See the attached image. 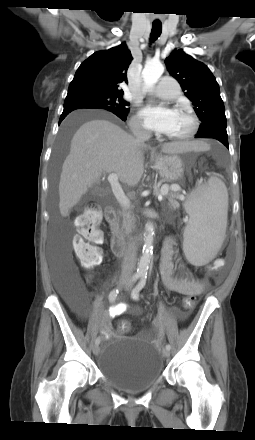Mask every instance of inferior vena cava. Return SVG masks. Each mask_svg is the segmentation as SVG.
<instances>
[{"label":"inferior vena cava","instance_id":"1","mask_svg":"<svg viewBox=\"0 0 255 440\" xmlns=\"http://www.w3.org/2000/svg\"><path fill=\"white\" fill-rule=\"evenodd\" d=\"M133 133L138 142H144L149 138V134L140 129L136 128L133 130ZM137 247L135 241H130L125 252L123 262H122V271H121V279L130 280L133 275V271L136 265V255H137Z\"/></svg>","mask_w":255,"mask_h":440}]
</instances>
